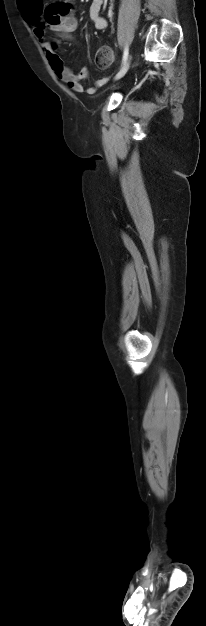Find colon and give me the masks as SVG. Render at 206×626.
I'll return each instance as SVG.
<instances>
[{
    "label": "colon",
    "instance_id": "5ec220e1",
    "mask_svg": "<svg viewBox=\"0 0 206 626\" xmlns=\"http://www.w3.org/2000/svg\"><path fill=\"white\" fill-rule=\"evenodd\" d=\"M113 60L112 49L107 46H101L96 55V64L100 68H107L110 66Z\"/></svg>",
    "mask_w": 206,
    "mask_h": 626
}]
</instances>
